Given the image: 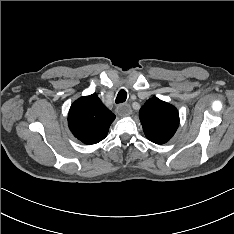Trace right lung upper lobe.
<instances>
[{
    "mask_svg": "<svg viewBox=\"0 0 234 234\" xmlns=\"http://www.w3.org/2000/svg\"><path fill=\"white\" fill-rule=\"evenodd\" d=\"M115 115L96 94L81 97L70 107L68 125L73 135L84 144H96L109 131Z\"/></svg>",
    "mask_w": 234,
    "mask_h": 234,
    "instance_id": "1",
    "label": "right lung upper lobe"
}]
</instances>
